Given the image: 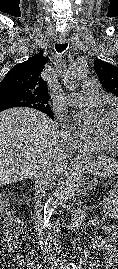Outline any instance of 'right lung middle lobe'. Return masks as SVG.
Instances as JSON below:
<instances>
[{
    "mask_svg": "<svg viewBox=\"0 0 118 269\" xmlns=\"http://www.w3.org/2000/svg\"><path fill=\"white\" fill-rule=\"evenodd\" d=\"M5 102L0 103V111L12 107H31L40 111L50 109L48 103H44L28 96L19 94H9L6 96Z\"/></svg>",
    "mask_w": 118,
    "mask_h": 269,
    "instance_id": "1",
    "label": "right lung middle lobe"
}]
</instances>
